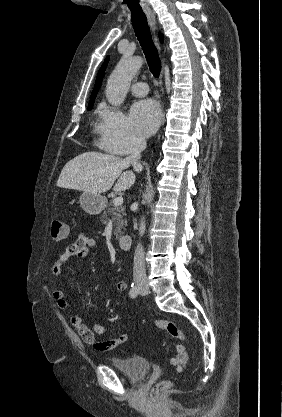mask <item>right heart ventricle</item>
<instances>
[{"label": "right heart ventricle", "mask_w": 282, "mask_h": 417, "mask_svg": "<svg viewBox=\"0 0 282 417\" xmlns=\"http://www.w3.org/2000/svg\"><path fill=\"white\" fill-rule=\"evenodd\" d=\"M106 113H107V109L103 106H100L97 109V115H98L99 119H102L105 116Z\"/></svg>", "instance_id": "obj_1"}]
</instances>
